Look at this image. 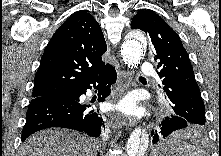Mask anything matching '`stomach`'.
<instances>
[{
  "instance_id": "stomach-1",
  "label": "stomach",
  "mask_w": 221,
  "mask_h": 156,
  "mask_svg": "<svg viewBox=\"0 0 221 156\" xmlns=\"http://www.w3.org/2000/svg\"><path fill=\"white\" fill-rule=\"evenodd\" d=\"M151 156H177V154L167 143H162L152 152Z\"/></svg>"
}]
</instances>
